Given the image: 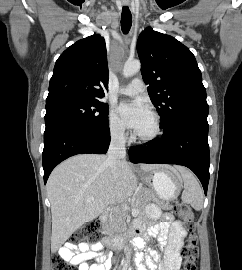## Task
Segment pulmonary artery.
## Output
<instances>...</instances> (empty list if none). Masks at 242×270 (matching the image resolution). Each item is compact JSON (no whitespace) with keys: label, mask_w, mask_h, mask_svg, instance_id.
<instances>
[{"label":"pulmonary artery","mask_w":242,"mask_h":270,"mask_svg":"<svg viewBox=\"0 0 242 270\" xmlns=\"http://www.w3.org/2000/svg\"><path fill=\"white\" fill-rule=\"evenodd\" d=\"M144 88V82L139 78H135L130 84L120 88L119 93L124 95H136L142 92Z\"/></svg>","instance_id":"obj_1"}]
</instances>
